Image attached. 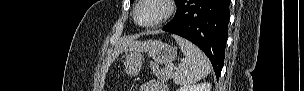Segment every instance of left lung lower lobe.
<instances>
[{
	"label": "left lung lower lobe",
	"mask_w": 304,
	"mask_h": 91,
	"mask_svg": "<svg viewBox=\"0 0 304 91\" xmlns=\"http://www.w3.org/2000/svg\"><path fill=\"white\" fill-rule=\"evenodd\" d=\"M230 0H180L164 31L197 45L210 59L217 79L224 65Z\"/></svg>",
	"instance_id": "obj_1"
}]
</instances>
